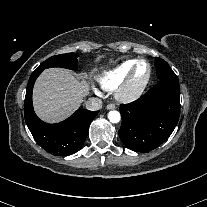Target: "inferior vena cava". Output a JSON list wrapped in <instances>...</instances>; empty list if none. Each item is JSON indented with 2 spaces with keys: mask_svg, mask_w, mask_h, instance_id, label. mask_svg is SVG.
<instances>
[{
  "mask_svg": "<svg viewBox=\"0 0 207 207\" xmlns=\"http://www.w3.org/2000/svg\"><path fill=\"white\" fill-rule=\"evenodd\" d=\"M86 109L90 111H97L102 108V101L99 98H89L85 102Z\"/></svg>",
  "mask_w": 207,
  "mask_h": 207,
  "instance_id": "inferior-vena-cava-1",
  "label": "inferior vena cava"
}]
</instances>
